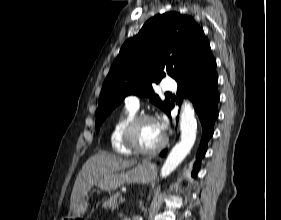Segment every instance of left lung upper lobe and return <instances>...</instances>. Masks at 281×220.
<instances>
[{"instance_id":"1","label":"left lung upper lobe","mask_w":281,"mask_h":220,"mask_svg":"<svg viewBox=\"0 0 281 220\" xmlns=\"http://www.w3.org/2000/svg\"><path fill=\"white\" fill-rule=\"evenodd\" d=\"M208 48L203 29L190 16L167 12L149 19L123 44L106 77L96 110L97 131L128 95L151 97L168 114L171 102L154 95L152 83H159L166 75L179 80L193 58Z\"/></svg>"}]
</instances>
